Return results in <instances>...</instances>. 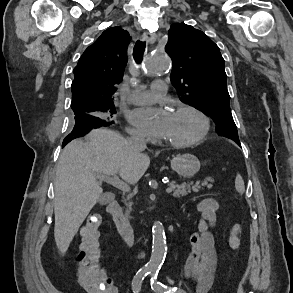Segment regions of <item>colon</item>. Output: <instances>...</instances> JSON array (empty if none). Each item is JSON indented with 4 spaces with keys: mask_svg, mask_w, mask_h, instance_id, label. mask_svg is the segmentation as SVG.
<instances>
[{
    "mask_svg": "<svg viewBox=\"0 0 293 293\" xmlns=\"http://www.w3.org/2000/svg\"><path fill=\"white\" fill-rule=\"evenodd\" d=\"M100 221L99 214L90 213L80 232L82 241L78 254V280L86 293H115L111 280L100 264L101 249L98 241ZM238 234V226H233L228 238V244L232 249L239 246Z\"/></svg>",
    "mask_w": 293,
    "mask_h": 293,
    "instance_id": "1",
    "label": "colon"
}]
</instances>
